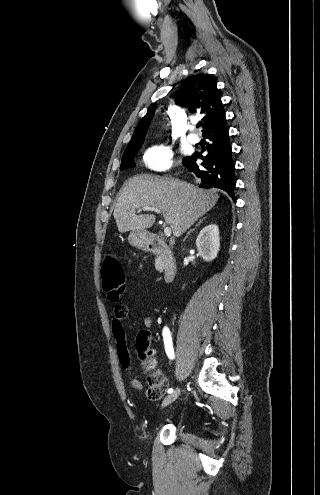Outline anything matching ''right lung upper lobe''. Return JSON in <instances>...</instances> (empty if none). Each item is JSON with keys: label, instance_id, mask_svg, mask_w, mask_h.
Returning <instances> with one entry per match:
<instances>
[{"label": "right lung upper lobe", "instance_id": "1", "mask_svg": "<svg viewBox=\"0 0 320 495\" xmlns=\"http://www.w3.org/2000/svg\"><path fill=\"white\" fill-rule=\"evenodd\" d=\"M171 97H176V104L203 115L202 132L226 119L221 92L217 89L216 79L210 75L200 73L192 76ZM155 108L153 106L139 121L125 150L142 145Z\"/></svg>", "mask_w": 320, "mask_h": 495}]
</instances>
